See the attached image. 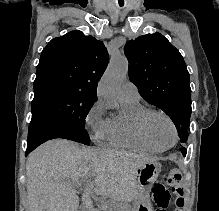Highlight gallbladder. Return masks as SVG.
<instances>
[{
    "instance_id": "gallbladder-1",
    "label": "gallbladder",
    "mask_w": 219,
    "mask_h": 211,
    "mask_svg": "<svg viewBox=\"0 0 219 211\" xmlns=\"http://www.w3.org/2000/svg\"><path fill=\"white\" fill-rule=\"evenodd\" d=\"M79 211H85V209H79Z\"/></svg>"
}]
</instances>
